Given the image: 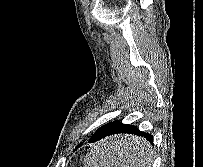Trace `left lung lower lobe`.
Returning a JSON list of instances; mask_svg holds the SVG:
<instances>
[{"instance_id": "0a47b994", "label": "left lung lower lobe", "mask_w": 203, "mask_h": 167, "mask_svg": "<svg viewBox=\"0 0 203 167\" xmlns=\"http://www.w3.org/2000/svg\"><path fill=\"white\" fill-rule=\"evenodd\" d=\"M120 133H127V134H135V135H139L144 137L145 139H147L150 143H153V137L151 134L149 133H145L143 131H140L136 126L134 125H127V124H123L121 121H113L110 122L102 127H100L93 135L92 137L89 139V142H96L99 141L101 139H104L106 137H109L111 135L114 134H120ZM124 142L120 141V140H124ZM113 141H115L116 143H114ZM103 143H105V141H102ZM100 142V143H102ZM107 145L110 144V147H112V149L116 148V149H122L124 147H131V149L135 152H137V148L136 146L133 147V145H129L128 143H130L129 141V137L127 138H122V137H111L108 139V141H106ZM120 143H123L120 145ZM80 145H78L79 147ZM135 148V149H134ZM145 150V149H144Z\"/></svg>"}]
</instances>
